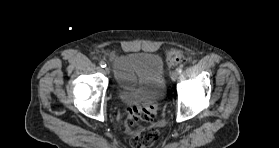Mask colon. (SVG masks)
Masks as SVG:
<instances>
[{
  "instance_id": "colon-1",
  "label": "colon",
  "mask_w": 279,
  "mask_h": 148,
  "mask_svg": "<svg viewBox=\"0 0 279 148\" xmlns=\"http://www.w3.org/2000/svg\"><path fill=\"white\" fill-rule=\"evenodd\" d=\"M167 64L175 67L184 60L182 51L171 49L167 53ZM156 105L154 103L145 106L133 105L127 109L124 129L131 136L133 148H149L160 138V130L154 117Z\"/></svg>"
}]
</instances>
